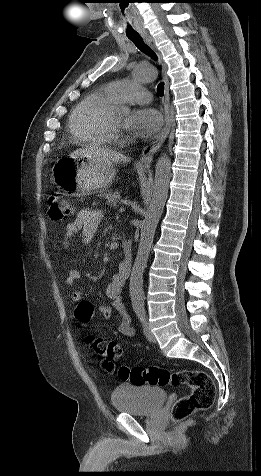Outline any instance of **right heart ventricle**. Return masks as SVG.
Returning a JSON list of instances; mask_svg holds the SVG:
<instances>
[{
	"mask_svg": "<svg viewBox=\"0 0 261 476\" xmlns=\"http://www.w3.org/2000/svg\"><path fill=\"white\" fill-rule=\"evenodd\" d=\"M117 102L105 89L86 95L69 117L68 127L73 140L81 145L110 144L116 137L110 117Z\"/></svg>",
	"mask_w": 261,
	"mask_h": 476,
	"instance_id": "1",
	"label": "right heart ventricle"
}]
</instances>
